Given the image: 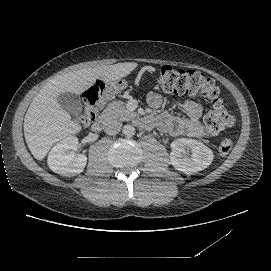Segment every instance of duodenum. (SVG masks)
<instances>
[{
  "label": "duodenum",
  "instance_id": "1",
  "mask_svg": "<svg viewBox=\"0 0 271 271\" xmlns=\"http://www.w3.org/2000/svg\"><path fill=\"white\" fill-rule=\"evenodd\" d=\"M93 129L95 131H107L109 133L116 129L115 123L111 120L107 112L102 113L95 123L93 124Z\"/></svg>",
  "mask_w": 271,
  "mask_h": 271
}]
</instances>
